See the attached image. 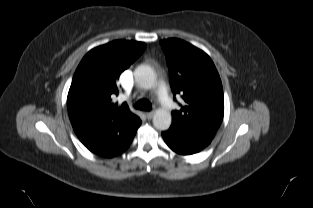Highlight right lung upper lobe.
I'll use <instances>...</instances> for the list:
<instances>
[{
    "instance_id": "right-lung-upper-lobe-1",
    "label": "right lung upper lobe",
    "mask_w": 313,
    "mask_h": 208,
    "mask_svg": "<svg viewBox=\"0 0 313 208\" xmlns=\"http://www.w3.org/2000/svg\"><path fill=\"white\" fill-rule=\"evenodd\" d=\"M143 42L115 40L90 50L72 79L67 108L74 130L113 124L130 130L138 121L126 103L112 102L116 81L145 50Z\"/></svg>"
}]
</instances>
